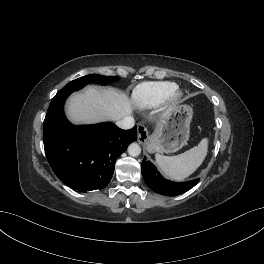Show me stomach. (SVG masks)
Segmentation results:
<instances>
[{
  "mask_svg": "<svg viewBox=\"0 0 264 264\" xmlns=\"http://www.w3.org/2000/svg\"><path fill=\"white\" fill-rule=\"evenodd\" d=\"M193 110L189 105H177L162 118L146 143L150 153H172L186 145L189 139Z\"/></svg>",
  "mask_w": 264,
  "mask_h": 264,
  "instance_id": "obj_1",
  "label": "stomach"
}]
</instances>
